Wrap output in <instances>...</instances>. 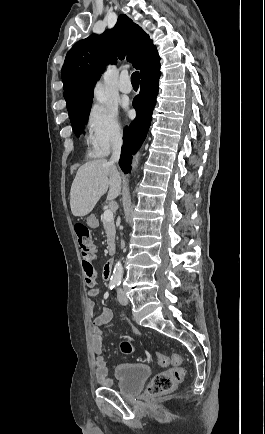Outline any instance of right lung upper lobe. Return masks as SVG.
Here are the masks:
<instances>
[{"label": "right lung upper lobe", "instance_id": "1", "mask_svg": "<svg viewBox=\"0 0 265 434\" xmlns=\"http://www.w3.org/2000/svg\"><path fill=\"white\" fill-rule=\"evenodd\" d=\"M158 55L156 47L141 27L121 14L111 30L92 34L77 42L67 53L62 67L66 104L93 95V87L108 63L117 58L131 62L137 69Z\"/></svg>", "mask_w": 265, "mask_h": 434}]
</instances>
